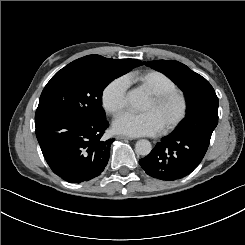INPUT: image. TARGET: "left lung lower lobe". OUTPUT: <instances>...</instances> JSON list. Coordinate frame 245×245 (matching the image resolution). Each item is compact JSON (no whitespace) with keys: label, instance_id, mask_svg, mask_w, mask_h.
I'll return each instance as SVG.
<instances>
[{"label":"left lung lower lobe","instance_id":"0a47b994","mask_svg":"<svg viewBox=\"0 0 245 245\" xmlns=\"http://www.w3.org/2000/svg\"><path fill=\"white\" fill-rule=\"evenodd\" d=\"M186 110L176 129L161 139L146 157L139 160L145 172L159 180L175 181L189 175L202 161L218 123L215 91ZM199 105V107H198Z\"/></svg>","mask_w":245,"mask_h":245}]
</instances>
